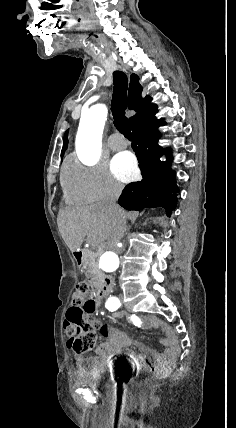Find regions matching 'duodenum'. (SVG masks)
<instances>
[{
    "mask_svg": "<svg viewBox=\"0 0 236 428\" xmlns=\"http://www.w3.org/2000/svg\"><path fill=\"white\" fill-rule=\"evenodd\" d=\"M73 258L78 265V267H82L84 263V252L82 249H75L73 251ZM114 288V280L112 277H105L97 290L95 291V298L97 300L107 299L111 296Z\"/></svg>",
    "mask_w": 236,
    "mask_h": 428,
    "instance_id": "1",
    "label": "duodenum"
}]
</instances>
